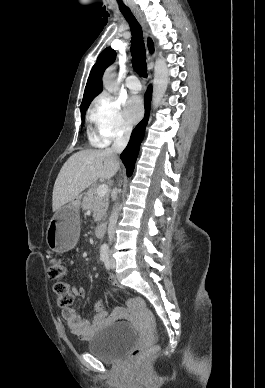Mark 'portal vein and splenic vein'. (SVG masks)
Here are the masks:
<instances>
[{
  "label": "portal vein and splenic vein",
  "instance_id": "18ae733b",
  "mask_svg": "<svg viewBox=\"0 0 265 388\" xmlns=\"http://www.w3.org/2000/svg\"><path fill=\"white\" fill-rule=\"evenodd\" d=\"M90 170H94L93 166H90ZM107 192L108 186H106V184H102V186H98L96 194L99 196V198H101V196H105Z\"/></svg>",
  "mask_w": 265,
  "mask_h": 388
}]
</instances>
